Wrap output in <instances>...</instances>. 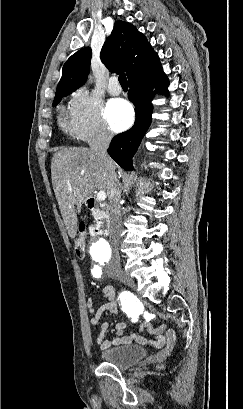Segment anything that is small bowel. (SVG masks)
<instances>
[{
    "instance_id": "small-bowel-1",
    "label": "small bowel",
    "mask_w": 243,
    "mask_h": 409,
    "mask_svg": "<svg viewBox=\"0 0 243 409\" xmlns=\"http://www.w3.org/2000/svg\"><path fill=\"white\" fill-rule=\"evenodd\" d=\"M101 295L105 298V302L98 308H95L94 301L89 298L87 301V308L92 313L91 324L98 325L100 323L101 317L104 313H110L117 316V322L115 325V331L118 337L113 339H106V335L110 329L109 322H103L100 325V330L96 338V342L101 349H107L113 346H119L124 344H129L133 341L139 344L148 345L154 349L161 350L163 355H168L176 345L177 336L173 329L166 330V325L161 324L154 327L149 321H144L137 332H142L146 330L149 334L153 336V339L148 340L143 336L134 332L130 335H124L127 325L124 321L120 319L118 302L116 294L112 288H105ZM128 316L133 322L137 321L138 310L129 306L128 310H125ZM165 333V335H164Z\"/></svg>"
}]
</instances>
